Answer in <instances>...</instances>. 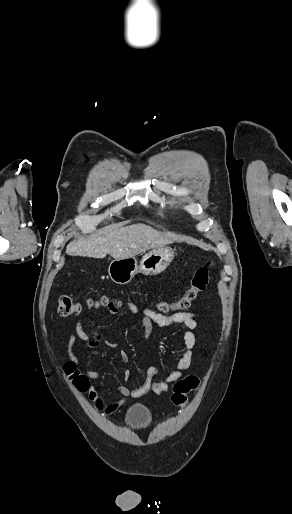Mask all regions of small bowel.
<instances>
[{"instance_id": "1", "label": "small bowel", "mask_w": 292, "mask_h": 514, "mask_svg": "<svg viewBox=\"0 0 292 514\" xmlns=\"http://www.w3.org/2000/svg\"><path fill=\"white\" fill-rule=\"evenodd\" d=\"M104 306V302L100 299H96L92 302V308L96 311H99ZM108 310L111 314L117 312V304L114 301H109L107 303ZM128 308L131 314L136 315L141 313V325L145 332V337L150 338L153 334V330L155 326L162 328H169L175 326H183L187 330L183 332L182 338L185 344V352L183 356L179 359L176 364V369L170 372L164 380L159 382H154L153 379L157 375V369L154 367H150L146 370L145 381L142 386L136 390H131L127 386L120 385L118 387V392L122 397V400L130 398V397H139L147 393L148 391H152L155 394H162L168 391L169 386L172 383H176L183 377L184 371L190 368L192 364L194 349L196 346V337L192 332L197 325V314L194 312H179L174 314H160L149 308H140L137 304L130 302L128 303ZM80 339L84 341L88 347L97 348L99 346V342L101 340V335L99 332L93 330L91 333H88L82 323L77 321L75 326V334H71L68 337V341L66 344V353L68 357L72 360L73 365L77 366L78 362L77 357L74 353V345L76 339ZM105 345L109 349H116L119 345L117 340H107L105 341ZM120 360L123 363H127L130 359L128 352L121 350L119 353ZM83 374L91 379L97 380L100 377L99 372L95 370L86 369L83 371ZM130 376V372L128 370L123 371V379L127 380ZM90 395L94 398L98 397V393L95 391L93 387L90 388ZM122 402V401H121ZM121 409L120 402L119 403H107L105 405L106 415L111 417L113 413L119 411Z\"/></svg>"}]
</instances>
